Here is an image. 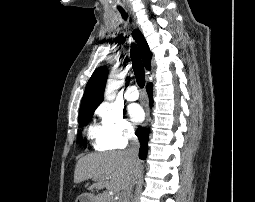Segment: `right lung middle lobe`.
Listing matches in <instances>:
<instances>
[{
    "label": "right lung middle lobe",
    "mask_w": 255,
    "mask_h": 202,
    "mask_svg": "<svg viewBox=\"0 0 255 202\" xmlns=\"http://www.w3.org/2000/svg\"><path fill=\"white\" fill-rule=\"evenodd\" d=\"M95 109H83L79 112V124L80 127H83L87 124L94 113Z\"/></svg>",
    "instance_id": "1"
}]
</instances>
